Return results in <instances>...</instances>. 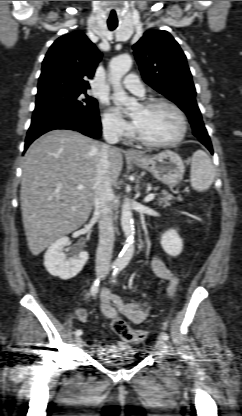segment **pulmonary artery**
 Returning a JSON list of instances; mask_svg holds the SVG:
<instances>
[{
	"label": "pulmonary artery",
	"mask_w": 242,
	"mask_h": 416,
	"mask_svg": "<svg viewBox=\"0 0 242 416\" xmlns=\"http://www.w3.org/2000/svg\"><path fill=\"white\" fill-rule=\"evenodd\" d=\"M122 86L135 95H143L144 87L136 74H129L122 82Z\"/></svg>",
	"instance_id": "obj_1"
}]
</instances>
